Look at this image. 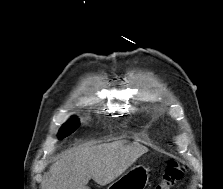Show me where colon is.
<instances>
[{"mask_svg":"<svg viewBox=\"0 0 223 189\" xmlns=\"http://www.w3.org/2000/svg\"><path fill=\"white\" fill-rule=\"evenodd\" d=\"M183 169L176 160H169L161 179V182L154 189H172V187L182 178Z\"/></svg>","mask_w":223,"mask_h":189,"instance_id":"5ec220e1","label":"colon"}]
</instances>
